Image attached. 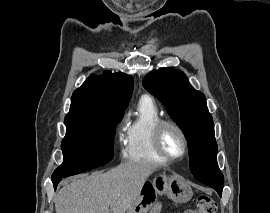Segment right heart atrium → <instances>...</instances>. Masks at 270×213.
<instances>
[{"mask_svg": "<svg viewBox=\"0 0 270 213\" xmlns=\"http://www.w3.org/2000/svg\"><path fill=\"white\" fill-rule=\"evenodd\" d=\"M116 137L119 143L123 141V135L120 130L117 131Z\"/></svg>", "mask_w": 270, "mask_h": 213, "instance_id": "1", "label": "right heart atrium"}]
</instances>
